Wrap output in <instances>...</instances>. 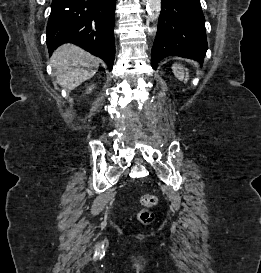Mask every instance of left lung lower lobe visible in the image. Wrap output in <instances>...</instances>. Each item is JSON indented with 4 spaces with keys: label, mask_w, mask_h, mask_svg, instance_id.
<instances>
[{
    "label": "left lung lower lobe",
    "mask_w": 261,
    "mask_h": 273,
    "mask_svg": "<svg viewBox=\"0 0 261 273\" xmlns=\"http://www.w3.org/2000/svg\"><path fill=\"white\" fill-rule=\"evenodd\" d=\"M207 48L200 0H162L157 34L151 50L152 67L155 68L167 56L203 62Z\"/></svg>",
    "instance_id": "0a47b994"
}]
</instances>
